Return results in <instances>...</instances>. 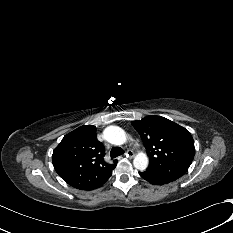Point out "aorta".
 I'll use <instances>...</instances> for the list:
<instances>
[{
	"label": "aorta",
	"mask_w": 233,
	"mask_h": 233,
	"mask_svg": "<svg viewBox=\"0 0 233 233\" xmlns=\"http://www.w3.org/2000/svg\"><path fill=\"white\" fill-rule=\"evenodd\" d=\"M104 138L111 144L122 145L126 142L127 137L125 131L118 126H109L104 130ZM148 157L144 152H139L134 160V167L140 171L148 167Z\"/></svg>",
	"instance_id": "762f6f07"
}]
</instances>
